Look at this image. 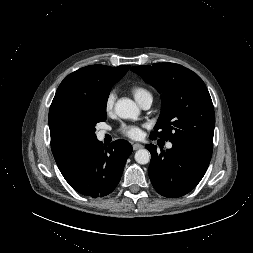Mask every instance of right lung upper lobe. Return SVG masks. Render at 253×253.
Returning a JSON list of instances; mask_svg holds the SVG:
<instances>
[{"mask_svg": "<svg viewBox=\"0 0 253 253\" xmlns=\"http://www.w3.org/2000/svg\"><path fill=\"white\" fill-rule=\"evenodd\" d=\"M130 65L109 67L90 65L69 74L59 85L49 110L51 149L55 161L77 148L82 142L68 128L66 117L72 110L96 104L129 70Z\"/></svg>", "mask_w": 253, "mask_h": 253, "instance_id": "cb5924a9", "label": "right lung upper lobe"}]
</instances>
